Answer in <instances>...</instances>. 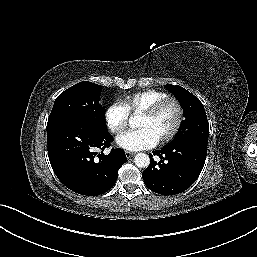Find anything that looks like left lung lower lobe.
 Masks as SVG:
<instances>
[{
    "mask_svg": "<svg viewBox=\"0 0 257 257\" xmlns=\"http://www.w3.org/2000/svg\"><path fill=\"white\" fill-rule=\"evenodd\" d=\"M160 162L151 159L142 177L145 185L158 194L173 195L188 189L199 177L207 156V144L188 141L168 145L153 152ZM153 155L149 154L150 157Z\"/></svg>",
    "mask_w": 257,
    "mask_h": 257,
    "instance_id": "obj_1",
    "label": "left lung lower lobe"
}]
</instances>
